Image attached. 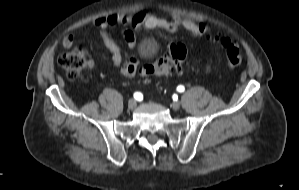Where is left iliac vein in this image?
Segmentation results:
<instances>
[{
    "label": "left iliac vein",
    "instance_id": "4c4485c4",
    "mask_svg": "<svg viewBox=\"0 0 299 190\" xmlns=\"http://www.w3.org/2000/svg\"><path fill=\"white\" fill-rule=\"evenodd\" d=\"M171 108L174 110H178L180 108V103L175 101L171 103Z\"/></svg>",
    "mask_w": 299,
    "mask_h": 190
}]
</instances>
